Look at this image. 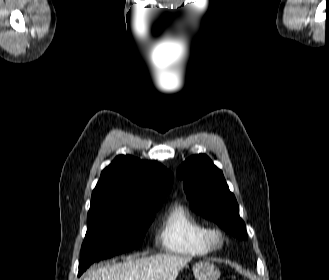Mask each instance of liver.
<instances>
[{"label":"liver","mask_w":329,"mask_h":280,"mask_svg":"<svg viewBox=\"0 0 329 280\" xmlns=\"http://www.w3.org/2000/svg\"><path fill=\"white\" fill-rule=\"evenodd\" d=\"M191 259L169 254L130 257L123 263L94 268L83 280H176Z\"/></svg>","instance_id":"1"}]
</instances>
